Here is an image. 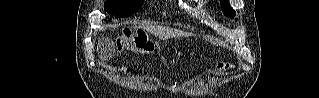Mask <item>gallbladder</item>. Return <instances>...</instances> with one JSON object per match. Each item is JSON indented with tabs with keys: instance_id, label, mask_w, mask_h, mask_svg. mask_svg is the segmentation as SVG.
<instances>
[{
	"instance_id": "obj_1",
	"label": "gallbladder",
	"mask_w": 319,
	"mask_h": 98,
	"mask_svg": "<svg viewBox=\"0 0 319 98\" xmlns=\"http://www.w3.org/2000/svg\"><path fill=\"white\" fill-rule=\"evenodd\" d=\"M112 54H113V50H109V51H107V52H104V51H102V49H101V52H100V55H101L102 57H104L105 59L110 58V57L112 56Z\"/></svg>"
}]
</instances>
